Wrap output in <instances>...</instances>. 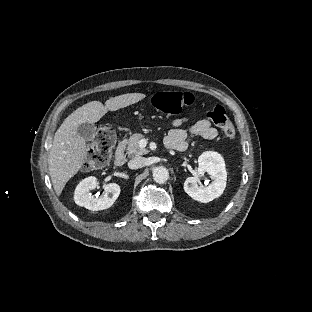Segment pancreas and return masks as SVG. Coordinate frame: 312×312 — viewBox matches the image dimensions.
Wrapping results in <instances>:
<instances>
[{
  "label": "pancreas",
  "mask_w": 312,
  "mask_h": 312,
  "mask_svg": "<svg viewBox=\"0 0 312 312\" xmlns=\"http://www.w3.org/2000/svg\"><path fill=\"white\" fill-rule=\"evenodd\" d=\"M143 138L144 136L139 133H135L130 136L126 152L128 156H140L149 152L147 149L139 146V141Z\"/></svg>",
  "instance_id": "pancreas-1"
}]
</instances>
